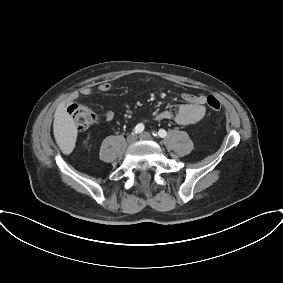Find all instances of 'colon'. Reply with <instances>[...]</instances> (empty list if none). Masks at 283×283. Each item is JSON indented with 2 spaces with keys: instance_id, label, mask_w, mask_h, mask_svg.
<instances>
[{
  "instance_id": "obj_1",
  "label": "colon",
  "mask_w": 283,
  "mask_h": 283,
  "mask_svg": "<svg viewBox=\"0 0 283 283\" xmlns=\"http://www.w3.org/2000/svg\"><path fill=\"white\" fill-rule=\"evenodd\" d=\"M206 102L212 112H218L221 108L219 100L213 95H209L206 98ZM68 114L79 129H86L90 127L96 119L91 110L76 104L69 106Z\"/></svg>"
}]
</instances>
